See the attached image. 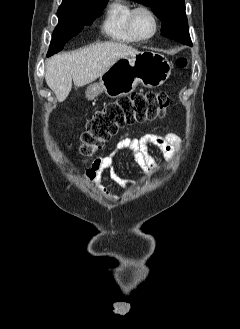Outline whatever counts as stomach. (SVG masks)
Here are the masks:
<instances>
[{
	"mask_svg": "<svg viewBox=\"0 0 240 329\" xmlns=\"http://www.w3.org/2000/svg\"><path fill=\"white\" fill-rule=\"evenodd\" d=\"M172 64L161 53L142 51L118 59L99 82L89 85L86 97L93 100L101 93L116 98L130 94L141 83L148 88L161 86L170 76Z\"/></svg>",
	"mask_w": 240,
	"mask_h": 329,
	"instance_id": "0dacf381",
	"label": "stomach"
}]
</instances>
